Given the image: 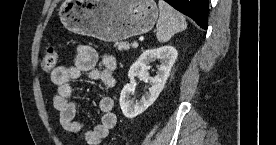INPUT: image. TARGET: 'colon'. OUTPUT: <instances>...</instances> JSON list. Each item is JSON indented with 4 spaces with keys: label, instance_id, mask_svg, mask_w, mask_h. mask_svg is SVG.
<instances>
[{
    "label": "colon",
    "instance_id": "1",
    "mask_svg": "<svg viewBox=\"0 0 276 145\" xmlns=\"http://www.w3.org/2000/svg\"><path fill=\"white\" fill-rule=\"evenodd\" d=\"M57 59H58V53L56 48L54 46H49L45 50L42 56V61H41L42 69L45 72L51 71L55 67L57 63Z\"/></svg>",
    "mask_w": 276,
    "mask_h": 145
}]
</instances>
